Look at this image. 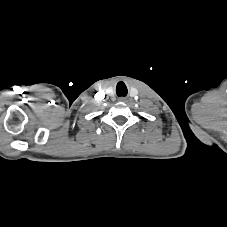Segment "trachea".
<instances>
[{
  "label": "trachea",
  "instance_id": "trachea-1",
  "mask_svg": "<svg viewBox=\"0 0 227 227\" xmlns=\"http://www.w3.org/2000/svg\"><path fill=\"white\" fill-rule=\"evenodd\" d=\"M126 94H127L126 86H124L122 89H119V87L117 88V95L118 96H126Z\"/></svg>",
  "mask_w": 227,
  "mask_h": 227
}]
</instances>
